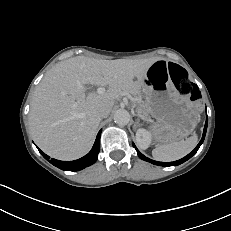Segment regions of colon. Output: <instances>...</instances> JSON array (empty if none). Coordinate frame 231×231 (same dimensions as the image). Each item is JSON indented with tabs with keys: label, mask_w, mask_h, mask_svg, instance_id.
<instances>
[{
	"label": "colon",
	"mask_w": 231,
	"mask_h": 231,
	"mask_svg": "<svg viewBox=\"0 0 231 231\" xmlns=\"http://www.w3.org/2000/svg\"><path fill=\"white\" fill-rule=\"evenodd\" d=\"M168 70L178 92L183 96H190L192 99H196L197 90L189 79L186 70L175 63L168 64Z\"/></svg>",
	"instance_id": "5ec220e1"
}]
</instances>
